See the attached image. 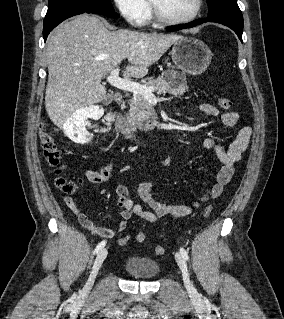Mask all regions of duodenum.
<instances>
[{"label": "duodenum", "instance_id": "410a0bca", "mask_svg": "<svg viewBox=\"0 0 284 319\" xmlns=\"http://www.w3.org/2000/svg\"><path fill=\"white\" fill-rule=\"evenodd\" d=\"M114 99H115V101H119L121 99V96L119 94H115ZM114 127L127 140H136L137 139L136 136L134 135L131 127L127 123V121L123 117H121L119 114H115Z\"/></svg>", "mask_w": 284, "mask_h": 319}]
</instances>
